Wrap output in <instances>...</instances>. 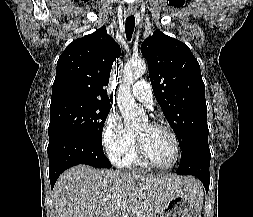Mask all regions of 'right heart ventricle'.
<instances>
[{"mask_svg": "<svg viewBox=\"0 0 253 217\" xmlns=\"http://www.w3.org/2000/svg\"><path fill=\"white\" fill-rule=\"evenodd\" d=\"M118 164L122 167L128 168H145L144 165L138 158L135 142L131 145V147L127 150V152L119 159Z\"/></svg>", "mask_w": 253, "mask_h": 217, "instance_id": "obj_1", "label": "right heart ventricle"}]
</instances>
